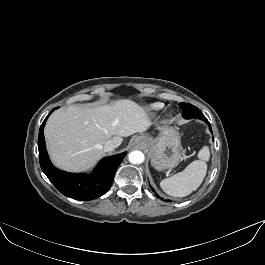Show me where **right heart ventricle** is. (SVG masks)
<instances>
[{"instance_id": "obj_1", "label": "right heart ventricle", "mask_w": 265, "mask_h": 265, "mask_svg": "<svg viewBox=\"0 0 265 265\" xmlns=\"http://www.w3.org/2000/svg\"><path fill=\"white\" fill-rule=\"evenodd\" d=\"M162 107V104L160 103H156V104H152L149 106V110L152 111V112H157L158 110H160Z\"/></svg>"}]
</instances>
